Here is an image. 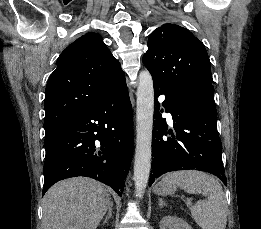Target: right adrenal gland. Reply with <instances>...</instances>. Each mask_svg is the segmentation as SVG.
Segmentation results:
<instances>
[{"instance_id":"right-adrenal-gland-1","label":"right adrenal gland","mask_w":261,"mask_h":229,"mask_svg":"<svg viewBox=\"0 0 261 229\" xmlns=\"http://www.w3.org/2000/svg\"><path fill=\"white\" fill-rule=\"evenodd\" d=\"M112 207H113V203H111V205H109L108 209V213L105 217V221H103V223H108V219H112Z\"/></svg>"}]
</instances>
